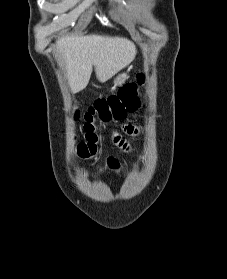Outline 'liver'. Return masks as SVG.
<instances>
[{
  "mask_svg": "<svg viewBox=\"0 0 227 279\" xmlns=\"http://www.w3.org/2000/svg\"><path fill=\"white\" fill-rule=\"evenodd\" d=\"M55 50L73 93L86 88L93 67L103 83L127 67L137 53L135 45L126 38L96 34L63 35L56 41Z\"/></svg>",
  "mask_w": 227,
  "mask_h": 279,
  "instance_id": "1",
  "label": "liver"
}]
</instances>
